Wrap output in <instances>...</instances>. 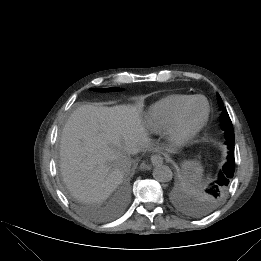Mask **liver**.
I'll use <instances>...</instances> for the list:
<instances>
[{"label": "liver", "instance_id": "obj_1", "mask_svg": "<svg viewBox=\"0 0 261 261\" xmlns=\"http://www.w3.org/2000/svg\"><path fill=\"white\" fill-rule=\"evenodd\" d=\"M142 104L82 105L67 120L60 141V168L71 193L86 203L101 202L120 185L119 160L149 146Z\"/></svg>", "mask_w": 261, "mask_h": 261}]
</instances>
